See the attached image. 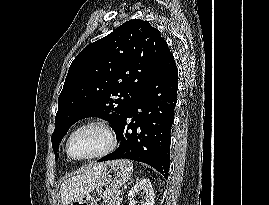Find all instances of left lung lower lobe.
I'll return each instance as SVG.
<instances>
[{"instance_id":"0a47b994","label":"left lung lower lobe","mask_w":269,"mask_h":205,"mask_svg":"<svg viewBox=\"0 0 269 205\" xmlns=\"http://www.w3.org/2000/svg\"><path fill=\"white\" fill-rule=\"evenodd\" d=\"M178 69L171 53L156 77L140 92L115 131L120 145L99 159L146 163L165 178L170 165V132L177 101Z\"/></svg>"}]
</instances>
